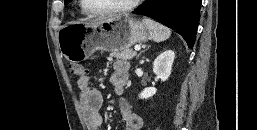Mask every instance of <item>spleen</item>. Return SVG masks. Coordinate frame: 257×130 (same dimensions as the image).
Returning a JSON list of instances; mask_svg holds the SVG:
<instances>
[{
	"label": "spleen",
	"mask_w": 257,
	"mask_h": 130,
	"mask_svg": "<svg viewBox=\"0 0 257 130\" xmlns=\"http://www.w3.org/2000/svg\"><path fill=\"white\" fill-rule=\"evenodd\" d=\"M143 23L147 27L150 37L155 42L167 40L171 35V30L169 28L150 18H143Z\"/></svg>",
	"instance_id": "spleen-1"
}]
</instances>
